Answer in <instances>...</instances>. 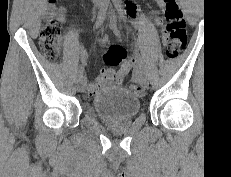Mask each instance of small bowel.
Masks as SVG:
<instances>
[{
	"mask_svg": "<svg viewBox=\"0 0 231 177\" xmlns=\"http://www.w3.org/2000/svg\"><path fill=\"white\" fill-rule=\"evenodd\" d=\"M160 4H163L162 0H157ZM126 7L128 9L129 15L131 18H134L137 12V6L133 3L132 0H125ZM55 4H50V10L56 11V17L60 22H64L66 19L65 9L63 7L55 8ZM115 35H118V31H115ZM104 41H108V38L105 37ZM78 54L82 57H86L85 51L81 47H77ZM135 64V61H122L119 63V69L116 71L112 68L102 69L96 79V81L88 85V92L90 94H95L101 87L109 85H121L124 83L127 74L129 73L132 66Z\"/></svg>",
	"mask_w": 231,
	"mask_h": 177,
	"instance_id": "c3829d8e",
	"label": "small bowel"
}]
</instances>
